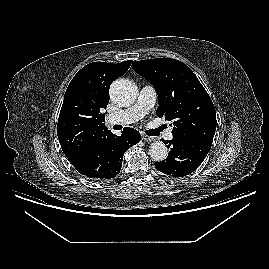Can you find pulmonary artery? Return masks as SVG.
<instances>
[{"label":"pulmonary artery","mask_w":269,"mask_h":269,"mask_svg":"<svg viewBox=\"0 0 269 269\" xmlns=\"http://www.w3.org/2000/svg\"><path fill=\"white\" fill-rule=\"evenodd\" d=\"M156 101V91L152 86H144L139 93L136 103L123 111L114 114H109L106 117L108 125H128L138 121L144 117L152 109ZM165 139H172V130L169 129L165 133Z\"/></svg>","instance_id":"1"}]
</instances>
